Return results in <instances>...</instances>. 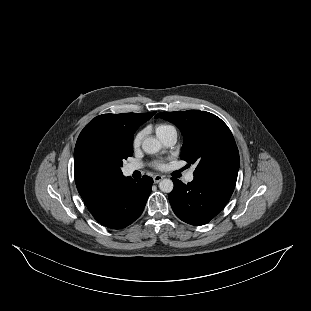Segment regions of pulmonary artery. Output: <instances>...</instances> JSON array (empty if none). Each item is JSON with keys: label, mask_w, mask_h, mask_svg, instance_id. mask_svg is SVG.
I'll list each match as a JSON object with an SVG mask.
<instances>
[{"label": "pulmonary artery", "mask_w": 311, "mask_h": 311, "mask_svg": "<svg viewBox=\"0 0 311 311\" xmlns=\"http://www.w3.org/2000/svg\"><path fill=\"white\" fill-rule=\"evenodd\" d=\"M160 139L162 141V143L166 146V147H172L176 142H177V132L173 131V130H169L165 133H163L160 136ZM143 168L142 165H138V164H128L125 167V171L129 174L141 170ZM185 182H192L194 180V169H192L190 172H188L184 178Z\"/></svg>", "instance_id": "pulmonary-artery-1"}]
</instances>
